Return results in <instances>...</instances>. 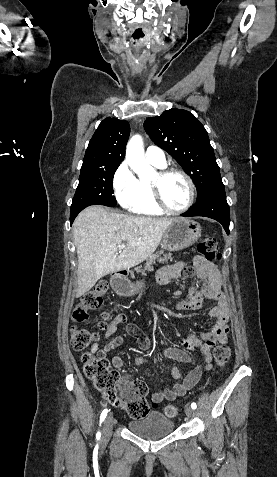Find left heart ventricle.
<instances>
[{
    "instance_id": "left-heart-ventricle-1",
    "label": "left heart ventricle",
    "mask_w": 277,
    "mask_h": 477,
    "mask_svg": "<svg viewBox=\"0 0 277 477\" xmlns=\"http://www.w3.org/2000/svg\"><path fill=\"white\" fill-rule=\"evenodd\" d=\"M161 192L165 203L172 209L182 208L189 196V187L181 175L173 174L161 183Z\"/></svg>"
}]
</instances>
